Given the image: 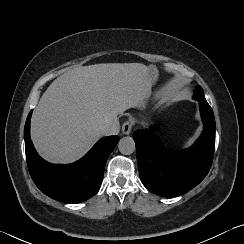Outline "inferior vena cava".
Instances as JSON below:
<instances>
[{
    "mask_svg": "<svg viewBox=\"0 0 244 244\" xmlns=\"http://www.w3.org/2000/svg\"><path fill=\"white\" fill-rule=\"evenodd\" d=\"M118 132V124L116 122H105L100 126V133L102 136L113 135Z\"/></svg>",
    "mask_w": 244,
    "mask_h": 244,
    "instance_id": "1",
    "label": "inferior vena cava"
}]
</instances>
